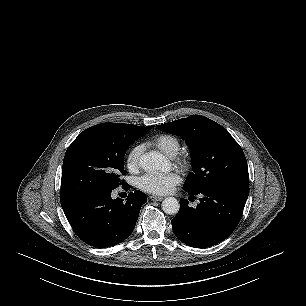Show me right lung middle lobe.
<instances>
[{"mask_svg": "<svg viewBox=\"0 0 306 306\" xmlns=\"http://www.w3.org/2000/svg\"><path fill=\"white\" fill-rule=\"evenodd\" d=\"M148 132L129 133L108 125H95L80 133L68 147L61 181L60 201L96 190H113L124 171L129 145Z\"/></svg>", "mask_w": 306, "mask_h": 306, "instance_id": "dd1d6c3e", "label": "right lung middle lobe"}]
</instances>
